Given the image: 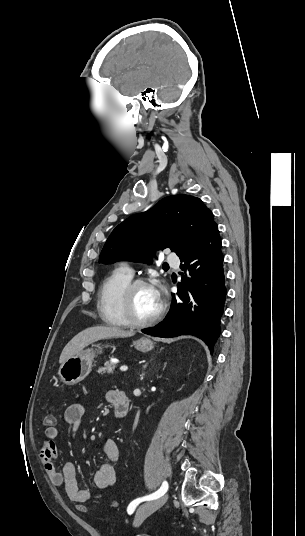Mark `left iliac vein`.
<instances>
[{
	"label": "left iliac vein",
	"mask_w": 305,
	"mask_h": 536,
	"mask_svg": "<svg viewBox=\"0 0 305 536\" xmlns=\"http://www.w3.org/2000/svg\"><path fill=\"white\" fill-rule=\"evenodd\" d=\"M167 500L168 494H164L155 500H152L139 506L135 514L134 525H140L146 517L152 514L155 510L162 507L167 502Z\"/></svg>",
	"instance_id": "4c4485c4"
}]
</instances>
